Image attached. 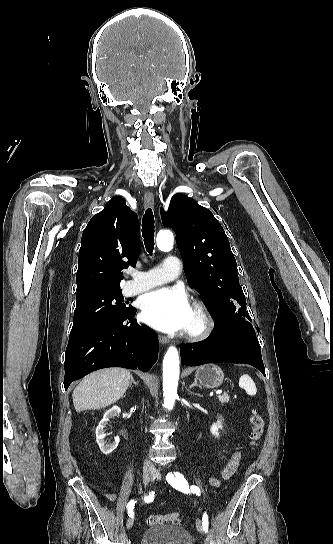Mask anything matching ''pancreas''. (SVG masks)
<instances>
[{"label":"pancreas","instance_id":"1","mask_svg":"<svg viewBox=\"0 0 333 544\" xmlns=\"http://www.w3.org/2000/svg\"><path fill=\"white\" fill-rule=\"evenodd\" d=\"M218 400L221 403H228L229 402V396H228V394L220 395V396H218Z\"/></svg>","mask_w":333,"mask_h":544}]
</instances>
